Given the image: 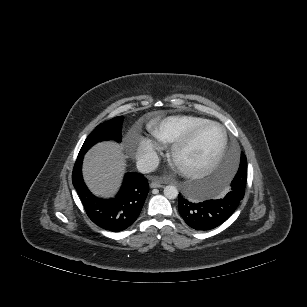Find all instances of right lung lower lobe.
<instances>
[{
	"instance_id": "98d812e1",
	"label": "right lung lower lobe",
	"mask_w": 307,
	"mask_h": 307,
	"mask_svg": "<svg viewBox=\"0 0 307 307\" xmlns=\"http://www.w3.org/2000/svg\"><path fill=\"white\" fill-rule=\"evenodd\" d=\"M84 154H78L72 173L73 185L88 217L99 227L112 232L125 230L134 223L144 205L149 191L146 178L139 173H127L123 185L114 199L95 197L82 178Z\"/></svg>"
}]
</instances>
